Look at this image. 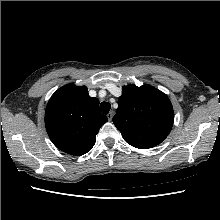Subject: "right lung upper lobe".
Instances as JSON below:
<instances>
[{
    "label": "right lung upper lobe",
    "mask_w": 220,
    "mask_h": 220,
    "mask_svg": "<svg viewBox=\"0 0 220 220\" xmlns=\"http://www.w3.org/2000/svg\"><path fill=\"white\" fill-rule=\"evenodd\" d=\"M108 118L99 110V100L89 96L86 86L67 84L50 98L45 127L61 151L80 156L95 144L96 134Z\"/></svg>",
    "instance_id": "1"
}]
</instances>
